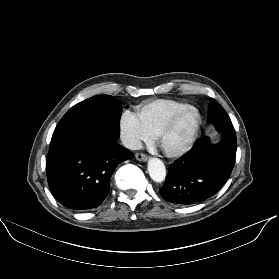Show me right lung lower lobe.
<instances>
[{
	"label": "right lung lower lobe",
	"mask_w": 279,
	"mask_h": 279,
	"mask_svg": "<svg viewBox=\"0 0 279 279\" xmlns=\"http://www.w3.org/2000/svg\"><path fill=\"white\" fill-rule=\"evenodd\" d=\"M118 138V123L106 120L51 139L46 173L49 188L62 205L85 210L102 203L115 168L134 158Z\"/></svg>",
	"instance_id": "obj_1"
}]
</instances>
